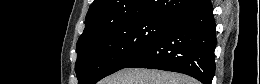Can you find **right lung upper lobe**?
<instances>
[{
    "label": "right lung upper lobe",
    "instance_id": "right-lung-upper-lobe-1",
    "mask_svg": "<svg viewBox=\"0 0 260 84\" xmlns=\"http://www.w3.org/2000/svg\"><path fill=\"white\" fill-rule=\"evenodd\" d=\"M201 0H94L77 46L97 38L112 26L130 19L159 16L173 19Z\"/></svg>",
    "mask_w": 260,
    "mask_h": 84
}]
</instances>
